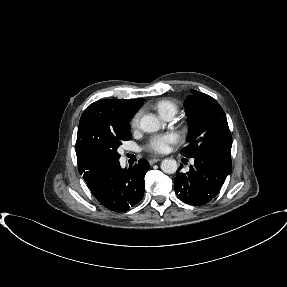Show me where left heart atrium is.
<instances>
[{"label":"left heart atrium","mask_w":287,"mask_h":287,"mask_svg":"<svg viewBox=\"0 0 287 287\" xmlns=\"http://www.w3.org/2000/svg\"><path fill=\"white\" fill-rule=\"evenodd\" d=\"M178 141V135L174 132H167L154 135L150 138L147 148L155 153H165L172 144Z\"/></svg>","instance_id":"39dd6f15"}]
</instances>
